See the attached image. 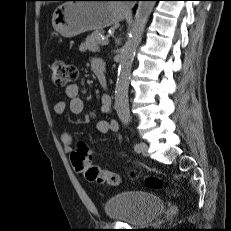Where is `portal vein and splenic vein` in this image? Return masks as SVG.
Returning a JSON list of instances; mask_svg holds the SVG:
<instances>
[{
	"instance_id": "18ae733b",
	"label": "portal vein and splenic vein",
	"mask_w": 231,
	"mask_h": 231,
	"mask_svg": "<svg viewBox=\"0 0 231 231\" xmlns=\"http://www.w3.org/2000/svg\"><path fill=\"white\" fill-rule=\"evenodd\" d=\"M108 43H109L108 39H105L102 41L101 45L106 46L108 45Z\"/></svg>"
}]
</instances>
